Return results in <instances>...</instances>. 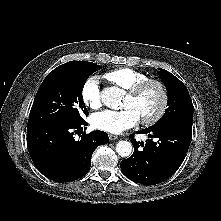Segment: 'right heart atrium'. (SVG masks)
<instances>
[{
    "mask_svg": "<svg viewBox=\"0 0 221 221\" xmlns=\"http://www.w3.org/2000/svg\"><path fill=\"white\" fill-rule=\"evenodd\" d=\"M83 103L92 110L99 109L102 105V94L99 79L95 76L89 77L81 88Z\"/></svg>",
    "mask_w": 221,
    "mask_h": 221,
    "instance_id": "right-heart-atrium-1",
    "label": "right heart atrium"
}]
</instances>
